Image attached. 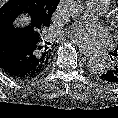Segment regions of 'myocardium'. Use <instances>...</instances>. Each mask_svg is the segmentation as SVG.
Returning a JSON list of instances; mask_svg holds the SVG:
<instances>
[{
	"label": "myocardium",
	"mask_w": 118,
	"mask_h": 118,
	"mask_svg": "<svg viewBox=\"0 0 118 118\" xmlns=\"http://www.w3.org/2000/svg\"><path fill=\"white\" fill-rule=\"evenodd\" d=\"M111 29H112L114 36L118 38V19L112 20Z\"/></svg>",
	"instance_id": "myocardium-1"
}]
</instances>
